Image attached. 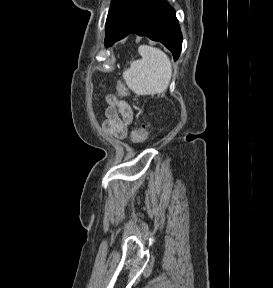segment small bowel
<instances>
[{
  "mask_svg": "<svg viewBox=\"0 0 273 288\" xmlns=\"http://www.w3.org/2000/svg\"><path fill=\"white\" fill-rule=\"evenodd\" d=\"M105 101L103 130L116 139L125 138L133 121L131 106L125 100L113 94L107 95Z\"/></svg>",
  "mask_w": 273,
  "mask_h": 288,
  "instance_id": "small-bowel-1",
  "label": "small bowel"
}]
</instances>
